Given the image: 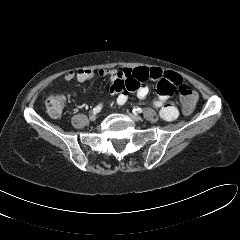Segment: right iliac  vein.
<instances>
[{"label":"right iliac vein","instance_id":"right-iliac-vein-1","mask_svg":"<svg viewBox=\"0 0 240 240\" xmlns=\"http://www.w3.org/2000/svg\"><path fill=\"white\" fill-rule=\"evenodd\" d=\"M89 119H90L91 121H95V120H96V115H95V114L90 115V116H89Z\"/></svg>","mask_w":240,"mask_h":240}]
</instances>
